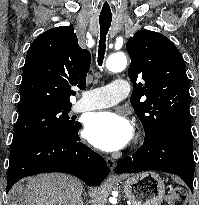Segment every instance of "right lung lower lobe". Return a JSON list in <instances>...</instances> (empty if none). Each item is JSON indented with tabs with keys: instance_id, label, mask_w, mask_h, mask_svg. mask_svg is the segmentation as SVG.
I'll list each match as a JSON object with an SVG mask.
<instances>
[{
	"instance_id": "right-lung-lower-lobe-1",
	"label": "right lung lower lobe",
	"mask_w": 199,
	"mask_h": 205,
	"mask_svg": "<svg viewBox=\"0 0 199 205\" xmlns=\"http://www.w3.org/2000/svg\"><path fill=\"white\" fill-rule=\"evenodd\" d=\"M79 127L73 131L46 135L11 148L7 173L8 192L21 178L39 173L63 172L90 186H98L109 174L102 156L80 141Z\"/></svg>"
}]
</instances>
